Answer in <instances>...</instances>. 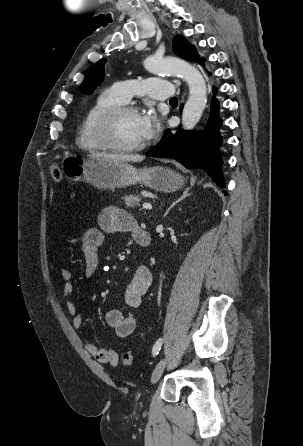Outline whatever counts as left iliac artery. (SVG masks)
<instances>
[{"instance_id": "obj_1", "label": "left iliac artery", "mask_w": 303, "mask_h": 446, "mask_svg": "<svg viewBox=\"0 0 303 446\" xmlns=\"http://www.w3.org/2000/svg\"><path fill=\"white\" fill-rule=\"evenodd\" d=\"M162 343H163V339H162V338L158 339V340L155 342V344H154V346H153V349H152V354H153V356L158 355V353H159V351H160V349H161Z\"/></svg>"}]
</instances>
